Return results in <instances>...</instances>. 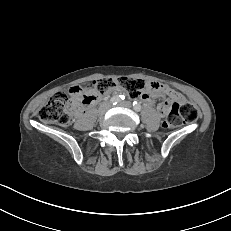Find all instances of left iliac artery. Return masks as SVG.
<instances>
[{
    "label": "left iliac artery",
    "instance_id": "1",
    "mask_svg": "<svg viewBox=\"0 0 231 231\" xmlns=\"http://www.w3.org/2000/svg\"><path fill=\"white\" fill-rule=\"evenodd\" d=\"M133 107H134V110L135 111H140L141 110V105H140V103H138L137 101H134L133 102Z\"/></svg>",
    "mask_w": 231,
    "mask_h": 231
}]
</instances>
